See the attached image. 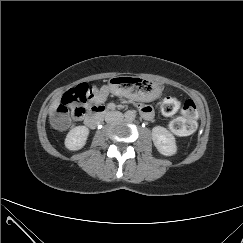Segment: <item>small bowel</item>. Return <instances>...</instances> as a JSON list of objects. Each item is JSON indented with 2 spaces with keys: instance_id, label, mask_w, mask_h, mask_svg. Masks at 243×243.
<instances>
[{
  "instance_id": "1",
  "label": "small bowel",
  "mask_w": 243,
  "mask_h": 243,
  "mask_svg": "<svg viewBox=\"0 0 243 243\" xmlns=\"http://www.w3.org/2000/svg\"><path fill=\"white\" fill-rule=\"evenodd\" d=\"M108 96V88L106 86H103L99 89H94V96L93 99L91 100L92 103L96 105L102 104ZM138 109L141 113V115L147 119L151 120L154 116L153 109L150 105L144 104V103H139L138 104Z\"/></svg>"
}]
</instances>
